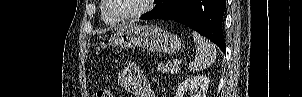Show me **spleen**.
I'll return each mask as SVG.
<instances>
[{
    "mask_svg": "<svg viewBox=\"0 0 302 97\" xmlns=\"http://www.w3.org/2000/svg\"><path fill=\"white\" fill-rule=\"evenodd\" d=\"M192 35L196 43V57L194 62L189 64V70L202 71L216 60V48L213 43L197 32H193Z\"/></svg>",
    "mask_w": 302,
    "mask_h": 97,
    "instance_id": "obj_1",
    "label": "spleen"
}]
</instances>
